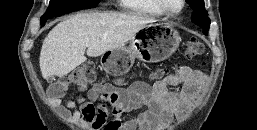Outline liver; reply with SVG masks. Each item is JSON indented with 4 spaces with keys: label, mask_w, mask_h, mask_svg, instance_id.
I'll return each instance as SVG.
<instances>
[{
    "label": "liver",
    "mask_w": 257,
    "mask_h": 130,
    "mask_svg": "<svg viewBox=\"0 0 257 130\" xmlns=\"http://www.w3.org/2000/svg\"><path fill=\"white\" fill-rule=\"evenodd\" d=\"M157 20L123 13H78L57 24L43 41L40 70L43 78L63 77L89 57L123 48L140 30Z\"/></svg>",
    "instance_id": "liver-1"
}]
</instances>
